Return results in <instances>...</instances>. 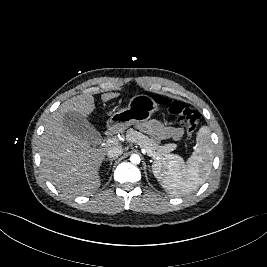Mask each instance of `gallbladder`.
<instances>
[{"mask_svg": "<svg viewBox=\"0 0 267 267\" xmlns=\"http://www.w3.org/2000/svg\"><path fill=\"white\" fill-rule=\"evenodd\" d=\"M63 123L68 131L81 139L89 141L91 144H97L101 139V135L96 128L86 117L78 112L65 113Z\"/></svg>", "mask_w": 267, "mask_h": 267, "instance_id": "1", "label": "gallbladder"}]
</instances>
